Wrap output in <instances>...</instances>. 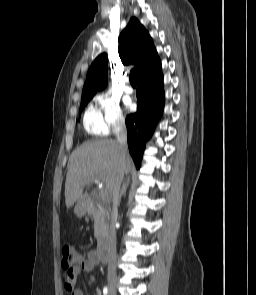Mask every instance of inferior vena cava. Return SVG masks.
Returning a JSON list of instances; mask_svg holds the SVG:
<instances>
[{
	"label": "inferior vena cava",
	"mask_w": 256,
	"mask_h": 295,
	"mask_svg": "<svg viewBox=\"0 0 256 295\" xmlns=\"http://www.w3.org/2000/svg\"><path fill=\"white\" fill-rule=\"evenodd\" d=\"M115 135L117 142L120 145V154L122 159V164H119V171H117V179L111 188V197H112V209H111V224L109 230V239H108V271L109 273H115V258H116V229L115 223L118 217V206L120 203V185L123 177L128 174V162L126 158L127 155V129L125 121L122 119L115 126Z\"/></svg>",
	"instance_id": "inferior-vena-cava-1"
}]
</instances>
